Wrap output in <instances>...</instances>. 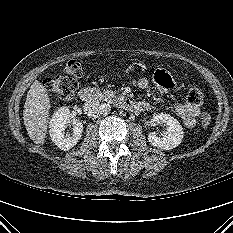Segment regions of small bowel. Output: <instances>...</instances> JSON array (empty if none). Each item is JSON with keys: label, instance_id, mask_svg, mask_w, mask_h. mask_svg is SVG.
Returning a JSON list of instances; mask_svg holds the SVG:
<instances>
[{"label": "small bowel", "instance_id": "obj_1", "mask_svg": "<svg viewBox=\"0 0 233 233\" xmlns=\"http://www.w3.org/2000/svg\"><path fill=\"white\" fill-rule=\"evenodd\" d=\"M153 78L155 83L166 92H169L174 88V81L171 75L163 69L157 70L154 73ZM138 86L141 89H146L149 86L148 79L140 78L138 80ZM139 105L141 110H150L152 108V106L145 101L139 102ZM174 111L180 117L186 127L192 128L195 126L196 118L199 114L198 107L192 106L187 102H179L175 104Z\"/></svg>", "mask_w": 233, "mask_h": 233}]
</instances>
